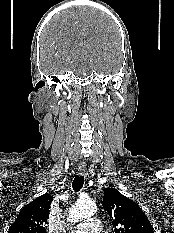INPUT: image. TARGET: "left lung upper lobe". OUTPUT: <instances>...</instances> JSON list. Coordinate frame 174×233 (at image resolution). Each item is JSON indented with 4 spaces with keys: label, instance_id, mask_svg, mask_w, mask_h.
I'll use <instances>...</instances> for the list:
<instances>
[{
    "label": "left lung upper lobe",
    "instance_id": "obj_1",
    "mask_svg": "<svg viewBox=\"0 0 174 233\" xmlns=\"http://www.w3.org/2000/svg\"><path fill=\"white\" fill-rule=\"evenodd\" d=\"M102 205L109 215L114 233H154L139 205L118 190L106 188Z\"/></svg>",
    "mask_w": 174,
    "mask_h": 233
}]
</instances>
